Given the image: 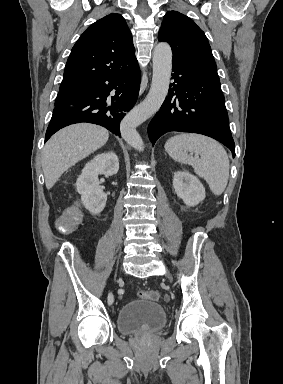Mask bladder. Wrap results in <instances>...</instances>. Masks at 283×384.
Wrapping results in <instances>:
<instances>
[{"mask_svg": "<svg viewBox=\"0 0 283 384\" xmlns=\"http://www.w3.org/2000/svg\"><path fill=\"white\" fill-rule=\"evenodd\" d=\"M167 316L160 302L134 300L117 312V329L122 334L155 333L165 327Z\"/></svg>", "mask_w": 283, "mask_h": 384, "instance_id": "1", "label": "bladder"}]
</instances>
